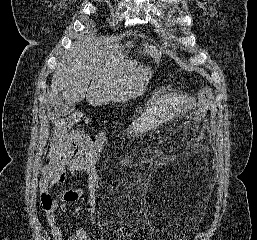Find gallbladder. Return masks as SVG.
Returning a JSON list of instances; mask_svg holds the SVG:
<instances>
[{
  "label": "gallbladder",
  "mask_w": 257,
  "mask_h": 240,
  "mask_svg": "<svg viewBox=\"0 0 257 240\" xmlns=\"http://www.w3.org/2000/svg\"><path fill=\"white\" fill-rule=\"evenodd\" d=\"M75 109V104L68 102L62 94L56 99L55 111L61 115H68Z\"/></svg>",
  "instance_id": "bac80fb5"
}]
</instances>
